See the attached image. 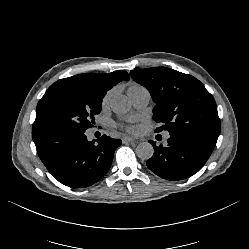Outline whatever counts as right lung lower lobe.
I'll return each instance as SVG.
<instances>
[{
	"label": "right lung lower lobe",
	"instance_id": "right-lung-lower-lobe-1",
	"mask_svg": "<svg viewBox=\"0 0 249 249\" xmlns=\"http://www.w3.org/2000/svg\"><path fill=\"white\" fill-rule=\"evenodd\" d=\"M37 153L50 172L62 184L88 187L110 169L114 151L121 140L103 135L89 141L85 131L72 129L32 130Z\"/></svg>",
	"mask_w": 249,
	"mask_h": 249
}]
</instances>
